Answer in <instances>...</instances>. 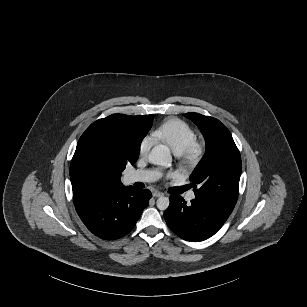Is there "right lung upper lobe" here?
Returning <instances> with one entry per match:
<instances>
[{
    "instance_id": "right-lung-upper-lobe-1",
    "label": "right lung upper lobe",
    "mask_w": 307,
    "mask_h": 307,
    "mask_svg": "<svg viewBox=\"0 0 307 307\" xmlns=\"http://www.w3.org/2000/svg\"><path fill=\"white\" fill-rule=\"evenodd\" d=\"M153 115L113 114L92 123L80 137L70 165L74 205L121 183V173L134 164Z\"/></svg>"
}]
</instances>
